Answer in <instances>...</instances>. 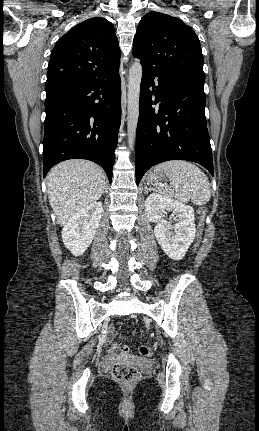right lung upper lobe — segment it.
Segmentation results:
<instances>
[{"label": "right lung upper lobe", "mask_w": 259, "mask_h": 431, "mask_svg": "<svg viewBox=\"0 0 259 431\" xmlns=\"http://www.w3.org/2000/svg\"><path fill=\"white\" fill-rule=\"evenodd\" d=\"M120 54L115 29L108 20L94 17L83 21L55 44L46 91L112 76L119 71Z\"/></svg>", "instance_id": "1"}]
</instances>
